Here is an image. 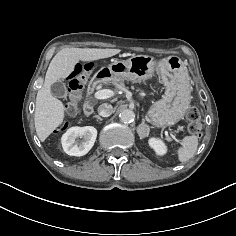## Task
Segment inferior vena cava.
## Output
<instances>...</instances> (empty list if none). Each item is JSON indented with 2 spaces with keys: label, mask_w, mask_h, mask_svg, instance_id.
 <instances>
[{
  "label": "inferior vena cava",
  "mask_w": 236,
  "mask_h": 236,
  "mask_svg": "<svg viewBox=\"0 0 236 236\" xmlns=\"http://www.w3.org/2000/svg\"><path fill=\"white\" fill-rule=\"evenodd\" d=\"M98 113L102 117H109L113 113V107L110 104H102L98 107Z\"/></svg>",
  "instance_id": "602c4592"
}]
</instances>
